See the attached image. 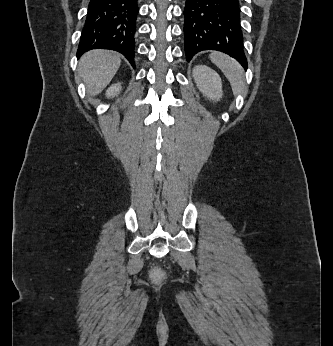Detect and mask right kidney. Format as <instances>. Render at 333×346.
Returning a JSON list of instances; mask_svg holds the SVG:
<instances>
[{
	"instance_id": "right-kidney-1",
	"label": "right kidney",
	"mask_w": 333,
	"mask_h": 346,
	"mask_svg": "<svg viewBox=\"0 0 333 346\" xmlns=\"http://www.w3.org/2000/svg\"><path fill=\"white\" fill-rule=\"evenodd\" d=\"M121 90V84L117 83V84H113L111 85L108 90L106 91V96L109 97H114L116 96Z\"/></svg>"
}]
</instances>
